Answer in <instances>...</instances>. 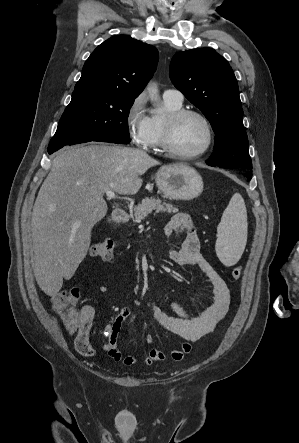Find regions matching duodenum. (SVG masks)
<instances>
[{"mask_svg":"<svg viewBox=\"0 0 299 443\" xmlns=\"http://www.w3.org/2000/svg\"><path fill=\"white\" fill-rule=\"evenodd\" d=\"M129 219V215L124 210H116L112 214L111 224L114 227L124 224Z\"/></svg>","mask_w":299,"mask_h":443,"instance_id":"duodenum-1","label":"duodenum"}]
</instances>
